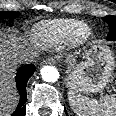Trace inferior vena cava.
Instances as JSON below:
<instances>
[{
  "label": "inferior vena cava",
  "instance_id": "1",
  "mask_svg": "<svg viewBox=\"0 0 116 116\" xmlns=\"http://www.w3.org/2000/svg\"><path fill=\"white\" fill-rule=\"evenodd\" d=\"M16 61L20 64L32 63L35 61V55L30 51H23L17 55Z\"/></svg>",
  "mask_w": 116,
  "mask_h": 116
}]
</instances>
